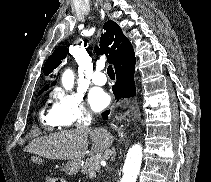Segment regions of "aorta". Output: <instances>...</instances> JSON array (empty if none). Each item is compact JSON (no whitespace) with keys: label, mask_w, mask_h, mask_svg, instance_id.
<instances>
[{"label":"aorta","mask_w":211,"mask_h":182,"mask_svg":"<svg viewBox=\"0 0 211 182\" xmlns=\"http://www.w3.org/2000/svg\"><path fill=\"white\" fill-rule=\"evenodd\" d=\"M62 85L65 89L70 90L74 84V74L67 69L61 78ZM142 161V147L139 144L133 145L127 153L123 177L120 182H136Z\"/></svg>","instance_id":"aorta-1"}]
</instances>
